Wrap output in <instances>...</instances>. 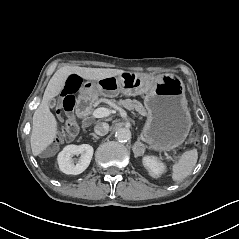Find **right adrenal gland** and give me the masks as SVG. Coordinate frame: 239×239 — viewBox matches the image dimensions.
Listing matches in <instances>:
<instances>
[{
	"instance_id": "1",
	"label": "right adrenal gland",
	"mask_w": 239,
	"mask_h": 239,
	"mask_svg": "<svg viewBox=\"0 0 239 239\" xmlns=\"http://www.w3.org/2000/svg\"><path fill=\"white\" fill-rule=\"evenodd\" d=\"M90 135L93 136L96 140H99V139H100V137L97 136L95 133H91Z\"/></svg>"
}]
</instances>
